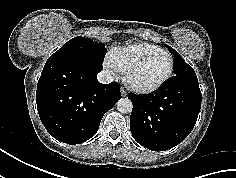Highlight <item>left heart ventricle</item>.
<instances>
[{
  "instance_id": "obj_1",
  "label": "left heart ventricle",
  "mask_w": 236,
  "mask_h": 178,
  "mask_svg": "<svg viewBox=\"0 0 236 178\" xmlns=\"http://www.w3.org/2000/svg\"><path fill=\"white\" fill-rule=\"evenodd\" d=\"M170 59L167 55H157L144 62L134 73L136 82L151 85L161 80L167 73Z\"/></svg>"
}]
</instances>
